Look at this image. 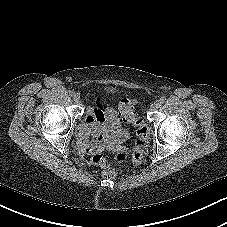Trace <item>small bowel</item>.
<instances>
[{
	"instance_id": "c3829d8e",
	"label": "small bowel",
	"mask_w": 227,
	"mask_h": 227,
	"mask_svg": "<svg viewBox=\"0 0 227 227\" xmlns=\"http://www.w3.org/2000/svg\"><path fill=\"white\" fill-rule=\"evenodd\" d=\"M118 125L117 112L109 107L104 108L99 99L96 105L87 110L84 120L76 129L78 147L83 153L92 154L99 151L111 127Z\"/></svg>"
}]
</instances>
